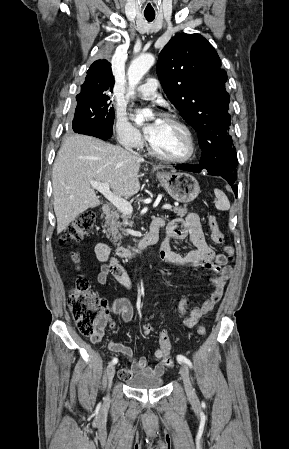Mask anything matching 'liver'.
Segmentation results:
<instances>
[{
	"label": "liver",
	"mask_w": 289,
	"mask_h": 449,
	"mask_svg": "<svg viewBox=\"0 0 289 449\" xmlns=\"http://www.w3.org/2000/svg\"><path fill=\"white\" fill-rule=\"evenodd\" d=\"M142 162V158L120 146L91 136H70L60 148L52 170L57 233L79 214L101 204L92 182L108 183L119 197L137 194Z\"/></svg>",
	"instance_id": "liver-1"
}]
</instances>
